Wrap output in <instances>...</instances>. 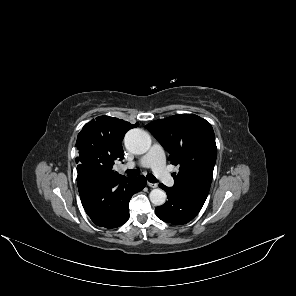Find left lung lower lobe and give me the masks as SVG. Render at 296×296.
<instances>
[{
	"mask_svg": "<svg viewBox=\"0 0 296 296\" xmlns=\"http://www.w3.org/2000/svg\"><path fill=\"white\" fill-rule=\"evenodd\" d=\"M159 187L166 191L168 201L155 209L157 216L175 225L191 221L201 210L208 193L195 191H179L163 184Z\"/></svg>",
	"mask_w": 296,
	"mask_h": 296,
	"instance_id": "1",
	"label": "left lung lower lobe"
}]
</instances>
